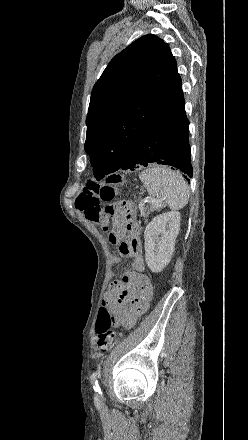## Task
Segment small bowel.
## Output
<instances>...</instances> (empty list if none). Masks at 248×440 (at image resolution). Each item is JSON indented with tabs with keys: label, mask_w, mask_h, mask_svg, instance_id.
Returning <instances> with one entry per match:
<instances>
[{
	"label": "small bowel",
	"mask_w": 248,
	"mask_h": 440,
	"mask_svg": "<svg viewBox=\"0 0 248 440\" xmlns=\"http://www.w3.org/2000/svg\"><path fill=\"white\" fill-rule=\"evenodd\" d=\"M122 220L114 224V231L119 236V250L122 255L132 257L131 274H125L121 280L114 281L105 293L103 305L115 311V326L123 331H132L138 319L149 308L152 298V285L145 274L140 240L141 228L135 220L133 206L123 203ZM119 259H115L118 261Z\"/></svg>",
	"instance_id": "1"
}]
</instances>
